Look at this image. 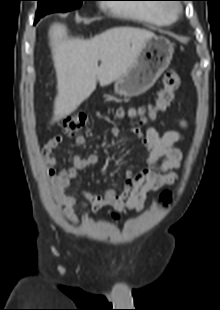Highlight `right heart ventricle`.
<instances>
[{
	"instance_id": "right-heart-ventricle-1",
	"label": "right heart ventricle",
	"mask_w": 220,
	"mask_h": 310,
	"mask_svg": "<svg viewBox=\"0 0 220 310\" xmlns=\"http://www.w3.org/2000/svg\"><path fill=\"white\" fill-rule=\"evenodd\" d=\"M153 1V0H148ZM166 6L163 4H140L134 6L116 7L115 11L124 16L136 18L144 23L164 26L171 22V18L166 14Z\"/></svg>"
}]
</instances>
